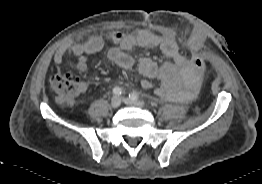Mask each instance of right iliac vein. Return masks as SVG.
Wrapping results in <instances>:
<instances>
[{"label":"right iliac vein","mask_w":262,"mask_h":184,"mask_svg":"<svg viewBox=\"0 0 262 184\" xmlns=\"http://www.w3.org/2000/svg\"><path fill=\"white\" fill-rule=\"evenodd\" d=\"M121 104V99L118 97V96H114L112 99H111V107L112 108H118Z\"/></svg>","instance_id":"63e3f726"}]
</instances>
